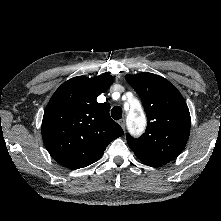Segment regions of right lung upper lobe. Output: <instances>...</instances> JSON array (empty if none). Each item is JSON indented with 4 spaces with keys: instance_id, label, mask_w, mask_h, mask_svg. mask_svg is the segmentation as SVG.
<instances>
[{
    "instance_id": "1",
    "label": "right lung upper lobe",
    "mask_w": 221,
    "mask_h": 221,
    "mask_svg": "<svg viewBox=\"0 0 221 221\" xmlns=\"http://www.w3.org/2000/svg\"><path fill=\"white\" fill-rule=\"evenodd\" d=\"M113 81L108 74L74 77L51 97L44 111L42 138L62 166L78 169L94 163L108 144L123 134L109 115L110 105L96 101Z\"/></svg>"
}]
</instances>
